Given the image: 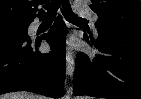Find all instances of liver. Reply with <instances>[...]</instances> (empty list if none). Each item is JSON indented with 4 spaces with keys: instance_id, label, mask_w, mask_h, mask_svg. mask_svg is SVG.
<instances>
[{
    "instance_id": "liver-1",
    "label": "liver",
    "mask_w": 141,
    "mask_h": 99,
    "mask_svg": "<svg viewBox=\"0 0 141 99\" xmlns=\"http://www.w3.org/2000/svg\"><path fill=\"white\" fill-rule=\"evenodd\" d=\"M0 99H41V96L29 92H13L0 96Z\"/></svg>"
}]
</instances>
